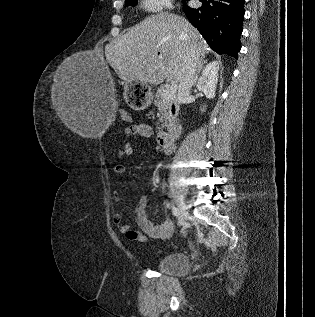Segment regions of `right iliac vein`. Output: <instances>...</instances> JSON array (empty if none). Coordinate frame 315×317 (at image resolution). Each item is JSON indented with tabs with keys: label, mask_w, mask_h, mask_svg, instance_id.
<instances>
[{
	"label": "right iliac vein",
	"mask_w": 315,
	"mask_h": 317,
	"mask_svg": "<svg viewBox=\"0 0 315 317\" xmlns=\"http://www.w3.org/2000/svg\"><path fill=\"white\" fill-rule=\"evenodd\" d=\"M178 213H179L178 224L181 226L185 223V217L187 214L186 204L183 201V199H180V201L178 202Z\"/></svg>",
	"instance_id": "right-iliac-vein-1"
}]
</instances>
